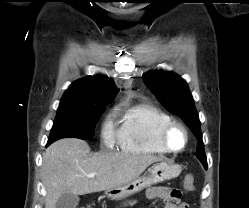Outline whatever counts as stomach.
<instances>
[{"label":"stomach","instance_id":"1","mask_svg":"<svg viewBox=\"0 0 249 208\" xmlns=\"http://www.w3.org/2000/svg\"><path fill=\"white\" fill-rule=\"evenodd\" d=\"M181 173V166L167 161H160L148 169V171L137 179L125 185L107 190L105 193L112 200L139 193L151 185L161 183L165 180L174 179Z\"/></svg>","mask_w":249,"mask_h":208}]
</instances>
